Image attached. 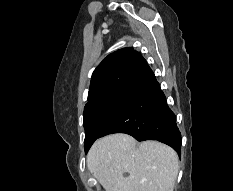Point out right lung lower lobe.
Here are the masks:
<instances>
[{
    "instance_id": "right-lung-lower-lobe-1",
    "label": "right lung lower lobe",
    "mask_w": 233,
    "mask_h": 191,
    "mask_svg": "<svg viewBox=\"0 0 233 191\" xmlns=\"http://www.w3.org/2000/svg\"><path fill=\"white\" fill-rule=\"evenodd\" d=\"M128 100L122 110L104 128L99 137L126 133L138 141L157 140L171 146L179 155L181 134L175 114L149 66L128 89Z\"/></svg>"
}]
</instances>
